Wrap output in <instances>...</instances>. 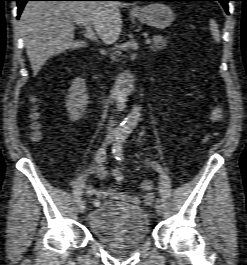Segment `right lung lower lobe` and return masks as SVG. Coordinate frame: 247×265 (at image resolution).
<instances>
[{"label": "right lung lower lobe", "mask_w": 247, "mask_h": 265, "mask_svg": "<svg viewBox=\"0 0 247 265\" xmlns=\"http://www.w3.org/2000/svg\"><path fill=\"white\" fill-rule=\"evenodd\" d=\"M18 3V15L17 18L20 17L22 9L27 1H128V0H15Z\"/></svg>", "instance_id": "obj_1"}]
</instances>
